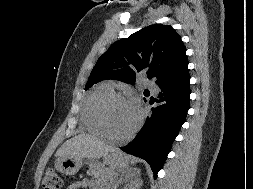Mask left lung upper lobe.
Returning a JSON list of instances; mask_svg holds the SVG:
<instances>
[{
  "instance_id": "obj_1",
  "label": "left lung upper lobe",
  "mask_w": 253,
  "mask_h": 189,
  "mask_svg": "<svg viewBox=\"0 0 253 189\" xmlns=\"http://www.w3.org/2000/svg\"><path fill=\"white\" fill-rule=\"evenodd\" d=\"M186 48L170 25L145 27L115 42L97 61L85 89L106 79L133 84L139 72L159 86L171 78L184 60Z\"/></svg>"
}]
</instances>
